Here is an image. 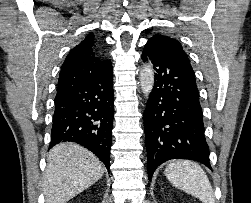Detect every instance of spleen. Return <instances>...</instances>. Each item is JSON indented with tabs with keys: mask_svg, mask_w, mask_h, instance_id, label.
<instances>
[{
	"mask_svg": "<svg viewBox=\"0 0 251 203\" xmlns=\"http://www.w3.org/2000/svg\"><path fill=\"white\" fill-rule=\"evenodd\" d=\"M165 175L173 186L200 199L203 203H215L209 179L197 163L190 160H176L165 169Z\"/></svg>",
	"mask_w": 251,
	"mask_h": 203,
	"instance_id": "spleen-1",
	"label": "spleen"
}]
</instances>
